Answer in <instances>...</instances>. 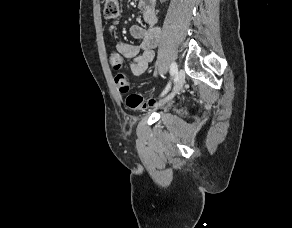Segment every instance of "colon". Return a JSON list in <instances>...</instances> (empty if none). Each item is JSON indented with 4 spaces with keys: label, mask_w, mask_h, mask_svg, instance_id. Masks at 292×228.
Listing matches in <instances>:
<instances>
[{
    "label": "colon",
    "mask_w": 292,
    "mask_h": 228,
    "mask_svg": "<svg viewBox=\"0 0 292 228\" xmlns=\"http://www.w3.org/2000/svg\"><path fill=\"white\" fill-rule=\"evenodd\" d=\"M120 13L119 0H104V15L108 19L118 17ZM109 62L113 69L118 70L121 68L122 59L119 54L112 52L109 56ZM116 84L121 93H128L129 86L125 77L118 76ZM157 104L155 99L145 100L139 93H130L126 97V105L132 110H143L147 107H154Z\"/></svg>",
    "instance_id": "obj_1"
}]
</instances>
